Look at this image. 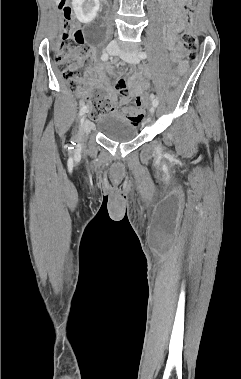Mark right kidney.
Masks as SVG:
<instances>
[{"instance_id": "right-kidney-1", "label": "right kidney", "mask_w": 241, "mask_h": 379, "mask_svg": "<svg viewBox=\"0 0 241 379\" xmlns=\"http://www.w3.org/2000/svg\"><path fill=\"white\" fill-rule=\"evenodd\" d=\"M73 10L76 18L84 24L92 22L99 10V0H73Z\"/></svg>"}]
</instances>
